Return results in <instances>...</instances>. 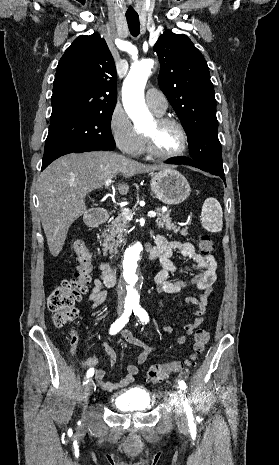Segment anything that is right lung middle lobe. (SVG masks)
<instances>
[{
    "instance_id": "obj_1",
    "label": "right lung middle lobe",
    "mask_w": 279,
    "mask_h": 465,
    "mask_svg": "<svg viewBox=\"0 0 279 465\" xmlns=\"http://www.w3.org/2000/svg\"><path fill=\"white\" fill-rule=\"evenodd\" d=\"M114 109L94 112L50 124L43 165L88 146H114L110 122Z\"/></svg>"
}]
</instances>
